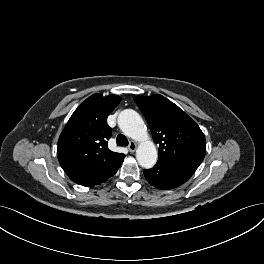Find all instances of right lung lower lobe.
Returning <instances> with one entry per match:
<instances>
[{"label": "right lung lower lobe", "mask_w": 264, "mask_h": 264, "mask_svg": "<svg viewBox=\"0 0 264 264\" xmlns=\"http://www.w3.org/2000/svg\"><path fill=\"white\" fill-rule=\"evenodd\" d=\"M123 160L124 159H122L119 162H117L110 169H108L107 171H105L104 173H102L101 175L96 177L95 179L90 180V181H88V182H86V183H84L82 185L86 186V187H93V186H95L97 184H101L103 182H106L108 178H110L111 176H113L117 172V170L121 166Z\"/></svg>", "instance_id": "98d812e1"}]
</instances>
